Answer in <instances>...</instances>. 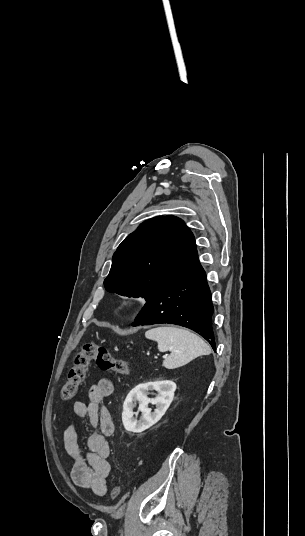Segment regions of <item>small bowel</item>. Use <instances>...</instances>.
I'll return each instance as SVG.
<instances>
[{
  "label": "small bowel",
  "mask_w": 305,
  "mask_h": 536,
  "mask_svg": "<svg viewBox=\"0 0 305 536\" xmlns=\"http://www.w3.org/2000/svg\"><path fill=\"white\" fill-rule=\"evenodd\" d=\"M111 379L102 378L89 389L88 402L76 401L73 412L77 418L89 419L94 427H99L88 438V452L83 453L78 443L76 426L70 424L64 431L65 450L73 465L71 477L82 488L90 489L97 496H104L108 491V476L111 465L108 461L110 445L107 437L113 433L114 425L111 415L103 400L114 392Z\"/></svg>",
  "instance_id": "1"
}]
</instances>
